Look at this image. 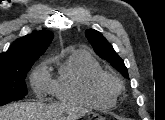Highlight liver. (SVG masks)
<instances>
[{
    "mask_svg": "<svg viewBox=\"0 0 165 120\" xmlns=\"http://www.w3.org/2000/svg\"><path fill=\"white\" fill-rule=\"evenodd\" d=\"M64 106L44 105L34 102L9 104L0 109V120H51L61 117ZM84 110H68V119L76 118L78 112Z\"/></svg>",
    "mask_w": 165,
    "mask_h": 120,
    "instance_id": "liver-1",
    "label": "liver"
}]
</instances>
